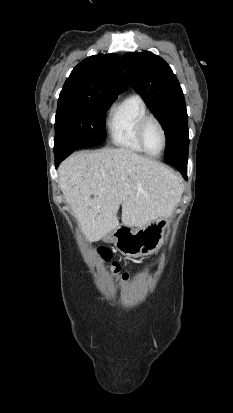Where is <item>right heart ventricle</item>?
Listing matches in <instances>:
<instances>
[{"label":"right heart ventricle","mask_w":233,"mask_h":413,"mask_svg":"<svg viewBox=\"0 0 233 413\" xmlns=\"http://www.w3.org/2000/svg\"><path fill=\"white\" fill-rule=\"evenodd\" d=\"M147 113L145 100L136 93L126 96L115 104L107 120L111 143L124 150L144 153L137 140L136 127L140 118Z\"/></svg>","instance_id":"1"}]
</instances>
